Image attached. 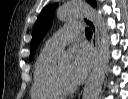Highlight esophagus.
<instances>
[{
  "instance_id": "obj_1",
  "label": "esophagus",
  "mask_w": 128,
  "mask_h": 99,
  "mask_svg": "<svg viewBox=\"0 0 128 99\" xmlns=\"http://www.w3.org/2000/svg\"><path fill=\"white\" fill-rule=\"evenodd\" d=\"M82 20L91 28V30L93 32L91 43H92V47L94 49L95 55H97L99 36H98V30H97L96 24L94 23V21L91 18H89L87 16H84L82 18Z\"/></svg>"
}]
</instances>
